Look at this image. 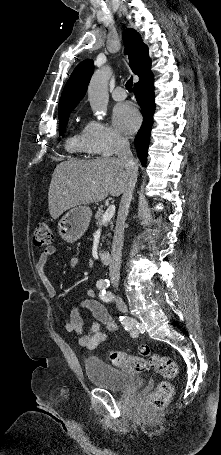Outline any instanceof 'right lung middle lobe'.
Instances as JSON below:
<instances>
[{"label": "right lung middle lobe", "mask_w": 221, "mask_h": 455, "mask_svg": "<svg viewBox=\"0 0 221 455\" xmlns=\"http://www.w3.org/2000/svg\"><path fill=\"white\" fill-rule=\"evenodd\" d=\"M71 111L72 110H65L59 112V135H62L64 132Z\"/></svg>", "instance_id": "dd1d6c3e"}]
</instances>
